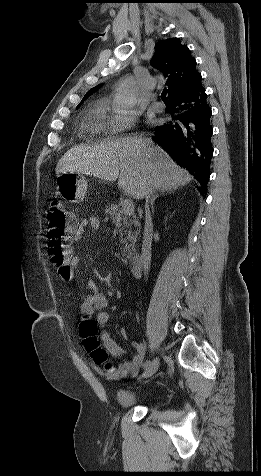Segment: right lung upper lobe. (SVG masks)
<instances>
[{"instance_id":"1","label":"right lung upper lobe","mask_w":261,"mask_h":476,"mask_svg":"<svg viewBox=\"0 0 261 476\" xmlns=\"http://www.w3.org/2000/svg\"><path fill=\"white\" fill-rule=\"evenodd\" d=\"M151 65L168 79L170 100L191 90L201 77L189 48L182 44L179 38L166 39L156 43ZM98 87L90 89L85 94L83 101Z\"/></svg>"}]
</instances>
